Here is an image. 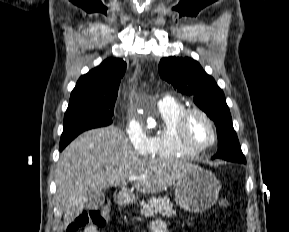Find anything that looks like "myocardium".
Here are the masks:
<instances>
[{"label": "myocardium", "instance_id": "myocardium-1", "mask_svg": "<svg viewBox=\"0 0 289 232\" xmlns=\"http://www.w3.org/2000/svg\"><path fill=\"white\" fill-rule=\"evenodd\" d=\"M200 115L210 126L212 137L211 140L204 145L193 144L187 136V126L189 118L194 115ZM176 134L180 143L187 149L199 153L210 148L217 140V129L212 118L202 109L197 107L185 108L179 115L176 123Z\"/></svg>", "mask_w": 289, "mask_h": 232}]
</instances>
